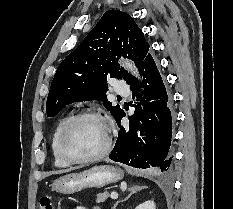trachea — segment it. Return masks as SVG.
Wrapping results in <instances>:
<instances>
[{
  "label": "trachea",
  "mask_w": 233,
  "mask_h": 209,
  "mask_svg": "<svg viewBox=\"0 0 233 209\" xmlns=\"http://www.w3.org/2000/svg\"><path fill=\"white\" fill-rule=\"evenodd\" d=\"M117 98H121V96H117Z\"/></svg>",
  "instance_id": "1"
}]
</instances>
